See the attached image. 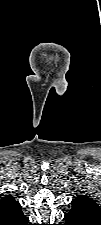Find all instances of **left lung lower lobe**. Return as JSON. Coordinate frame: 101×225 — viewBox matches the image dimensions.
Returning <instances> with one entry per match:
<instances>
[{
    "label": "left lung lower lobe",
    "instance_id": "1",
    "mask_svg": "<svg viewBox=\"0 0 101 225\" xmlns=\"http://www.w3.org/2000/svg\"><path fill=\"white\" fill-rule=\"evenodd\" d=\"M100 217L99 213L72 208L65 215L64 225H101Z\"/></svg>",
    "mask_w": 101,
    "mask_h": 225
}]
</instances>
